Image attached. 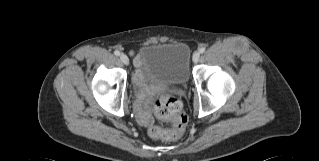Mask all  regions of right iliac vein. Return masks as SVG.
<instances>
[{"label": "right iliac vein", "instance_id": "1", "mask_svg": "<svg viewBox=\"0 0 319 161\" xmlns=\"http://www.w3.org/2000/svg\"><path fill=\"white\" fill-rule=\"evenodd\" d=\"M120 60L124 65H128L129 64V58L125 55V54H121L120 55Z\"/></svg>", "mask_w": 319, "mask_h": 161}]
</instances>
